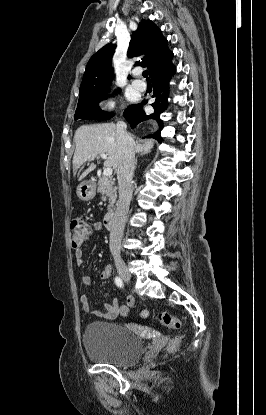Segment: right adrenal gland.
I'll return each instance as SVG.
<instances>
[{
    "mask_svg": "<svg viewBox=\"0 0 266 415\" xmlns=\"http://www.w3.org/2000/svg\"><path fill=\"white\" fill-rule=\"evenodd\" d=\"M143 154H141V156H142ZM136 166H137V158H136V160H135V169H136Z\"/></svg>",
    "mask_w": 266,
    "mask_h": 415,
    "instance_id": "obj_1",
    "label": "right adrenal gland"
}]
</instances>
